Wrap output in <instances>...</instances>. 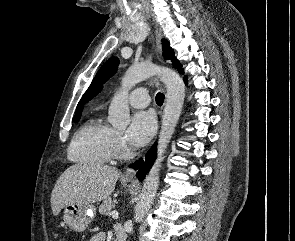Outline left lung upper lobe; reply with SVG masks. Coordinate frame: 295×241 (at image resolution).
<instances>
[{
	"label": "left lung upper lobe",
	"mask_w": 295,
	"mask_h": 241,
	"mask_svg": "<svg viewBox=\"0 0 295 241\" xmlns=\"http://www.w3.org/2000/svg\"><path fill=\"white\" fill-rule=\"evenodd\" d=\"M163 56L165 59L172 60L173 65L182 72V67L178 60L174 57V51L170 47L169 43L163 39ZM119 60L117 57L110 58L97 72L95 78L90 84L89 88L84 94V99L86 101L90 100L92 97L96 96L102 89L103 83L109 79L117 70Z\"/></svg>",
	"instance_id": "1"
}]
</instances>
